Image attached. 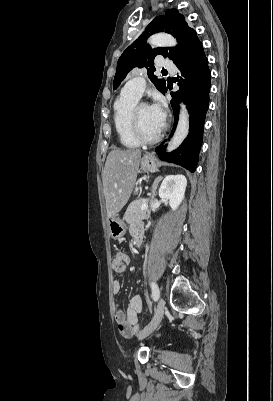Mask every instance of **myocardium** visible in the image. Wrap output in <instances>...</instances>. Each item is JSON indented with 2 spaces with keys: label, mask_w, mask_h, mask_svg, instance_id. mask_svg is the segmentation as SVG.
Here are the masks:
<instances>
[{
  "label": "myocardium",
  "mask_w": 273,
  "mask_h": 401,
  "mask_svg": "<svg viewBox=\"0 0 273 401\" xmlns=\"http://www.w3.org/2000/svg\"><path fill=\"white\" fill-rule=\"evenodd\" d=\"M141 105H146L145 103H137L136 105L133 106L130 114V129L133 134V136L140 141L142 144H153L157 142L164 133V128H162L157 134L153 136H148L146 135L142 130L139 125V121L137 118V112L138 109Z\"/></svg>",
  "instance_id": "f54148a6"
}]
</instances>
